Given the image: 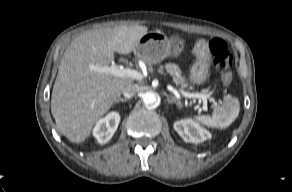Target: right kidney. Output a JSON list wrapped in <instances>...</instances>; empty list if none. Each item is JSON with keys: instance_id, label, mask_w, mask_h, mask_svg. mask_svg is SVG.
<instances>
[{"instance_id": "ca27d5eb", "label": "right kidney", "mask_w": 292, "mask_h": 192, "mask_svg": "<svg viewBox=\"0 0 292 192\" xmlns=\"http://www.w3.org/2000/svg\"><path fill=\"white\" fill-rule=\"evenodd\" d=\"M119 122L120 115L117 112H111L106 117L100 119L93 130V135L98 143H107L117 130Z\"/></svg>"}]
</instances>
